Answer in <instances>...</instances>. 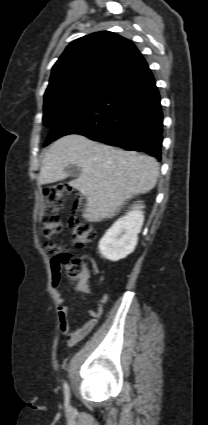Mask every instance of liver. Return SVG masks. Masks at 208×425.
I'll return each instance as SVG.
<instances>
[{
	"label": "liver",
	"mask_w": 208,
	"mask_h": 425,
	"mask_svg": "<svg viewBox=\"0 0 208 425\" xmlns=\"http://www.w3.org/2000/svg\"><path fill=\"white\" fill-rule=\"evenodd\" d=\"M69 166L80 168L78 178L69 185L86 198L83 217L90 222L115 216L127 200L152 190L159 174L153 157L70 134L55 141L45 153L39 183L66 178Z\"/></svg>",
	"instance_id": "liver-1"
}]
</instances>
